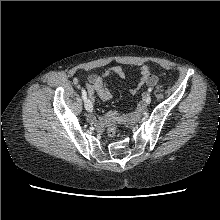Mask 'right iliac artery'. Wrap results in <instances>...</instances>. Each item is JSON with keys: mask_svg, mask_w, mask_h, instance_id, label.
<instances>
[{"mask_svg": "<svg viewBox=\"0 0 220 220\" xmlns=\"http://www.w3.org/2000/svg\"><path fill=\"white\" fill-rule=\"evenodd\" d=\"M81 92H82V98H83L84 102H86L87 101V93H86L85 89L82 88Z\"/></svg>", "mask_w": 220, "mask_h": 220, "instance_id": "right-iliac-artery-1", "label": "right iliac artery"}]
</instances>
